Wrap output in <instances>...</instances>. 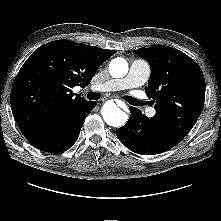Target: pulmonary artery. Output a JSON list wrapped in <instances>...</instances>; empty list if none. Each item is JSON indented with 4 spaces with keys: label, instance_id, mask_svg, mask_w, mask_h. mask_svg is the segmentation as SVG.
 <instances>
[{
    "label": "pulmonary artery",
    "instance_id": "pulmonary-artery-1",
    "mask_svg": "<svg viewBox=\"0 0 221 221\" xmlns=\"http://www.w3.org/2000/svg\"><path fill=\"white\" fill-rule=\"evenodd\" d=\"M150 76V66L147 62L141 59L134 60L129 68L127 75L120 79H112L98 87L96 90L109 91V90H124L136 88L143 85ZM155 115V110H148V116Z\"/></svg>",
    "mask_w": 221,
    "mask_h": 221
}]
</instances>
